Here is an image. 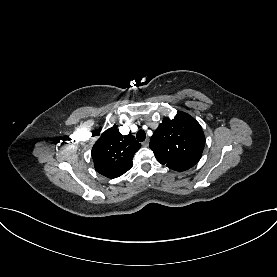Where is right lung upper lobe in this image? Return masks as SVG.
Returning <instances> with one entry per match:
<instances>
[{"label":"right lung upper lobe","mask_w":277,"mask_h":277,"mask_svg":"<svg viewBox=\"0 0 277 277\" xmlns=\"http://www.w3.org/2000/svg\"><path fill=\"white\" fill-rule=\"evenodd\" d=\"M140 147L134 136H123L113 126L101 135L92 148L94 167L103 176L117 178L133 166V156Z\"/></svg>","instance_id":"1"}]
</instances>
